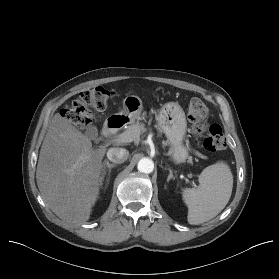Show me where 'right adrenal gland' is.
I'll return each instance as SVG.
<instances>
[{"label":"right adrenal gland","mask_w":279,"mask_h":279,"mask_svg":"<svg viewBox=\"0 0 279 279\" xmlns=\"http://www.w3.org/2000/svg\"><path fill=\"white\" fill-rule=\"evenodd\" d=\"M117 165L116 164H114V163H110L108 160H105L104 161V163H103V165H102V167H103V172H104V174L106 173V168H108L109 169V174H110V172H111V169L112 168H115Z\"/></svg>","instance_id":"1"}]
</instances>
